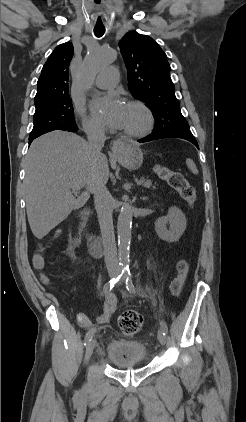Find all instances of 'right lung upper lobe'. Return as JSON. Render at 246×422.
<instances>
[{"mask_svg": "<svg viewBox=\"0 0 246 422\" xmlns=\"http://www.w3.org/2000/svg\"><path fill=\"white\" fill-rule=\"evenodd\" d=\"M73 53L71 42L60 44L44 64L37 82L36 109L69 96L68 70Z\"/></svg>", "mask_w": 246, "mask_h": 422, "instance_id": "1", "label": "right lung upper lobe"}]
</instances>
